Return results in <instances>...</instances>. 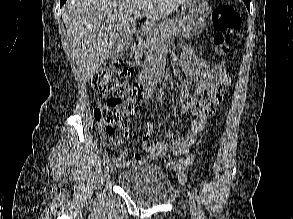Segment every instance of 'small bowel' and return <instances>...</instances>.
Returning a JSON list of instances; mask_svg holds the SVG:
<instances>
[{
    "instance_id": "obj_1",
    "label": "small bowel",
    "mask_w": 293,
    "mask_h": 219,
    "mask_svg": "<svg viewBox=\"0 0 293 219\" xmlns=\"http://www.w3.org/2000/svg\"><path fill=\"white\" fill-rule=\"evenodd\" d=\"M180 67L185 79L180 84V110L183 114H191L192 120L189 130L182 139L175 138L169 142L149 143V138L154 135L155 127L152 121L144 124L146 133L140 138L141 146L146 155L135 154L133 159H128L129 152L123 150L119 156L114 157L115 163L120 167H129L134 164H146L160 156L172 153L185 155L193 145L196 136L205 128L207 118L214 114L216 107L223 99L225 87L230 83L226 74H221L215 68H211L207 62L196 55L191 47L183 46ZM197 77L195 92H192L189 79ZM154 96L153 89H145L142 99ZM98 135L101 143L117 145L121 139L107 135L101 125H98ZM123 136H129V127H123Z\"/></svg>"
}]
</instances>
